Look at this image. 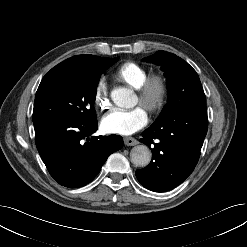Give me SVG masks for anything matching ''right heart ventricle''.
<instances>
[{"instance_id": "obj_1", "label": "right heart ventricle", "mask_w": 247, "mask_h": 247, "mask_svg": "<svg viewBox=\"0 0 247 247\" xmlns=\"http://www.w3.org/2000/svg\"><path fill=\"white\" fill-rule=\"evenodd\" d=\"M147 76L146 68L133 61L123 63L115 72V77L119 81L134 89H138Z\"/></svg>"}]
</instances>
